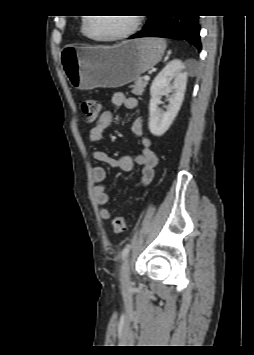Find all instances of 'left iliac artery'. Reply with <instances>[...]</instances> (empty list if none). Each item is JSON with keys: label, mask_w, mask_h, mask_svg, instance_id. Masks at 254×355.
<instances>
[{"label": "left iliac artery", "mask_w": 254, "mask_h": 355, "mask_svg": "<svg viewBox=\"0 0 254 355\" xmlns=\"http://www.w3.org/2000/svg\"><path fill=\"white\" fill-rule=\"evenodd\" d=\"M130 248H131V246H130V245H127V246L123 249V251H122V259H125V258L128 256L129 251H130Z\"/></svg>", "instance_id": "obj_1"}]
</instances>
